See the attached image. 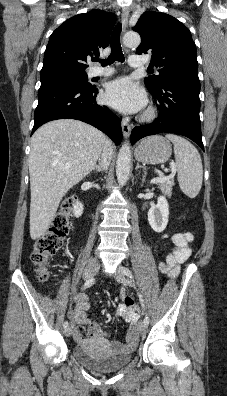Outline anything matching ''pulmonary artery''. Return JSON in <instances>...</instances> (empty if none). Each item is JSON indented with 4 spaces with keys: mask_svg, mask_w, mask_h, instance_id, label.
<instances>
[{
    "mask_svg": "<svg viewBox=\"0 0 227 396\" xmlns=\"http://www.w3.org/2000/svg\"><path fill=\"white\" fill-rule=\"evenodd\" d=\"M129 64L131 67H142L146 64V60L141 56L132 55L129 57ZM112 68L94 67L90 71L91 77L110 76L114 73Z\"/></svg>",
    "mask_w": 227,
    "mask_h": 396,
    "instance_id": "e3ab8cb5",
    "label": "pulmonary artery"
}]
</instances>
